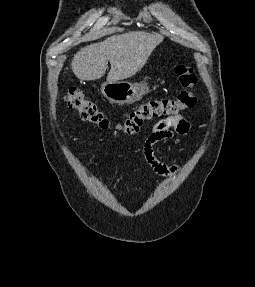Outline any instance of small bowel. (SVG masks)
I'll use <instances>...</instances> for the list:
<instances>
[{"mask_svg": "<svg viewBox=\"0 0 255 287\" xmlns=\"http://www.w3.org/2000/svg\"><path fill=\"white\" fill-rule=\"evenodd\" d=\"M191 124L182 115H170L164 119L157 121L153 127L152 132L146 138L143 144V157L147 165L157 174L164 176H175L180 168L175 165H168L160 161L155 155V145L159 142L168 140L174 134L185 135L190 131ZM121 177L115 184L114 189L123 181Z\"/></svg>", "mask_w": 255, "mask_h": 287, "instance_id": "1", "label": "small bowel"}]
</instances>
